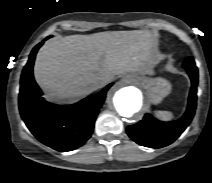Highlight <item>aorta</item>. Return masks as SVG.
Segmentation results:
<instances>
[{
	"label": "aorta",
	"instance_id": "762f6f07",
	"mask_svg": "<svg viewBox=\"0 0 212 183\" xmlns=\"http://www.w3.org/2000/svg\"><path fill=\"white\" fill-rule=\"evenodd\" d=\"M113 104L121 116L132 117L142 106V94L136 87H123L114 93Z\"/></svg>",
	"mask_w": 212,
	"mask_h": 183
}]
</instances>
